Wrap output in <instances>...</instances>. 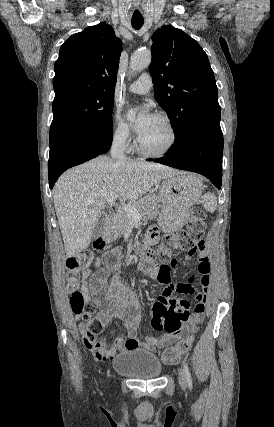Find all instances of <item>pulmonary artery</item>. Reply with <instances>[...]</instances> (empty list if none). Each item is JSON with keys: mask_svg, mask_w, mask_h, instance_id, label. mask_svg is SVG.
I'll list each match as a JSON object with an SVG mask.
<instances>
[{"mask_svg": "<svg viewBox=\"0 0 274 427\" xmlns=\"http://www.w3.org/2000/svg\"><path fill=\"white\" fill-rule=\"evenodd\" d=\"M151 87V77L145 73L128 87V91L138 95H145L149 93Z\"/></svg>", "mask_w": 274, "mask_h": 427, "instance_id": "pulmonary-artery-1", "label": "pulmonary artery"}]
</instances>
